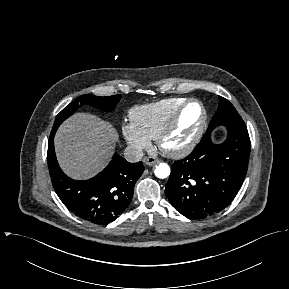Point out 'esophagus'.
Here are the masks:
<instances>
[{
	"label": "esophagus",
	"mask_w": 289,
	"mask_h": 289,
	"mask_svg": "<svg viewBox=\"0 0 289 289\" xmlns=\"http://www.w3.org/2000/svg\"><path fill=\"white\" fill-rule=\"evenodd\" d=\"M144 162H145L146 165L151 166L153 164L159 163L160 160L155 158V157H146L144 159Z\"/></svg>",
	"instance_id": "obj_1"
}]
</instances>
